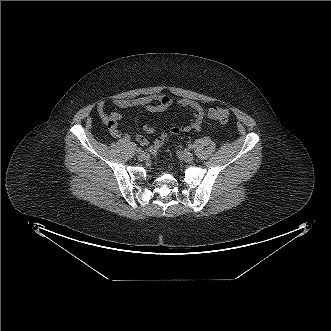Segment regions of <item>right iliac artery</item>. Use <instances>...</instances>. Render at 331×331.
I'll return each mask as SVG.
<instances>
[{
  "label": "right iliac artery",
  "instance_id": "obj_1",
  "mask_svg": "<svg viewBox=\"0 0 331 331\" xmlns=\"http://www.w3.org/2000/svg\"><path fill=\"white\" fill-rule=\"evenodd\" d=\"M137 152H138V153H141V152H142V148H141V147H138V148H137Z\"/></svg>",
  "mask_w": 331,
  "mask_h": 331
}]
</instances>
